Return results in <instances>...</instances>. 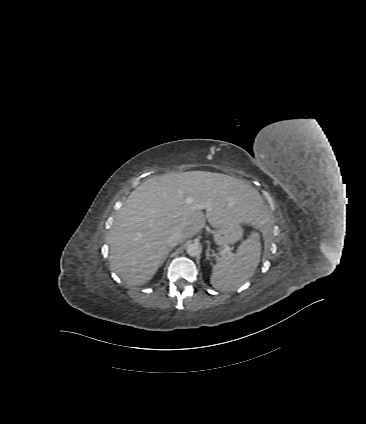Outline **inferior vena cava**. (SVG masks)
Listing matches in <instances>:
<instances>
[{
  "instance_id": "inferior-vena-cava-1",
  "label": "inferior vena cava",
  "mask_w": 366,
  "mask_h": 424,
  "mask_svg": "<svg viewBox=\"0 0 366 424\" xmlns=\"http://www.w3.org/2000/svg\"><path fill=\"white\" fill-rule=\"evenodd\" d=\"M181 240H182V233L181 232L172 233L167 238V246L168 247H175Z\"/></svg>"
}]
</instances>
